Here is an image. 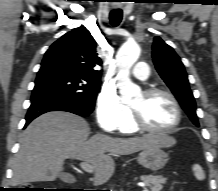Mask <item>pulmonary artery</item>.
Returning a JSON list of instances; mask_svg holds the SVG:
<instances>
[{
    "mask_svg": "<svg viewBox=\"0 0 218 191\" xmlns=\"http://www.w3.org/2000/svg\"><path fill=\"white\" fill-rule=\"evenodd\" d=\"M133 76L139 80H147L149 77V66L145 62H138L133 70Z\"/></svg>",
    "mask_w": 218,
    "mask_h": 191,
    "instance_id": "1",
    "label": "pulmonary artery"
}]
</instances>
